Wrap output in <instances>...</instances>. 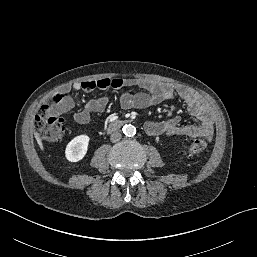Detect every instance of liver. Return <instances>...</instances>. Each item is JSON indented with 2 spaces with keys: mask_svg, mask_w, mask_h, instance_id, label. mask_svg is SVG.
Masks as SVG:
<instances>
[{
  "mask_svg": "<svg viewBox=\"0 0 257 257\" xmlns=\"http://www.w3.org/2000/svg\"><path fill=\"white\" fill-rule=\"evenodd\" d=\"M35 138H36V140H37V143H38L40 149L43 150V144H42V142H41L39 136H38L36 133H35Z\"/></svg>",
  "mask_w": 257,
  "mask_h": 257,
  "instance_id": "obj_1",
  "label": "liver"
}]
</instances>
